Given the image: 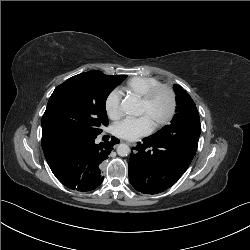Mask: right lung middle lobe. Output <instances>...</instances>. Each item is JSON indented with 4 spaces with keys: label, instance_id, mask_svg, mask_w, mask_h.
<instances>
[{
    "label": "right lung middle lobe",
    "instance_id": "right-lung-middle-lobe-1",
    "mask_svg": "<svg viewBox=\"0 0 250 250\" xmlns=\"http://www.w3.org/2000/svg\"><path fill=\"white\" fill-rule=\"evenodd\" d=\"M125 75L89 71L75 75L57 86L42 118V131H76L91 135L108 125L105 102Z\"/></svg>",
    "mask_w": 250,
    "mask_h": 250
}]
</instances>
